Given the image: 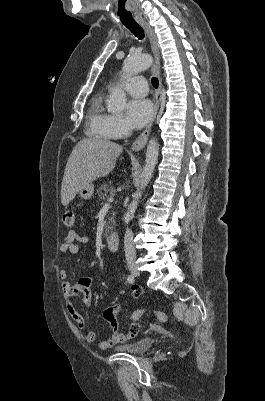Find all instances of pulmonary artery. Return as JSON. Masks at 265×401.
I'll list each match as a JSON object with an SVG mask.
<instances>
[{"mask_svg": "<svg viewBox=\"0 0 265 401\" xmlns=\"http://www.w3.org/2000/svg\"><path fill=\"white\" fill-rule=\"evenodd\" d=\"M123 87L129 95H133L135 101H142L147 94V90H145L147 84L142 75H132L130 81H125Z\"/></svg>", "mask_w": 265, "mask_h": 401, "instance_id": "1", "label": "pulmonary artery"}]
</instances>
